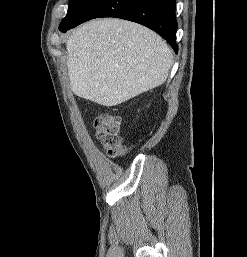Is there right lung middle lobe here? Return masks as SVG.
Masks as SVG:
<instances>
[{
  "label": "right lung middle lobe",
  "mask_w": 247,
  "mask_h": 257,
  "mask_svg": "<svg viewBox=\"0 0 247 257\" xmlns=\"http://www.w3.org/2000/svg\"><path fill=\"white\" fill-rule=\"evenodd\" d=\"M92 1L93 0H69L67 14L60 23V26L75 21L85 11V9Z\"/></svg>",
  "instance_id": "obj_1"
}]
</instances>
